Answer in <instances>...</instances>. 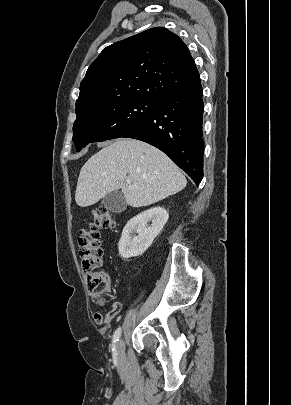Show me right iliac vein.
<instances>
[{"label": "right iliac vein", "instance_id": "63e3f726", "mask_svg": "<svg viewBox=\"0 0 291 405\" xmlns=\"http://www.w3.org/2000/svg\"><path fill=\"white\" fill-rule=\"evenodd\" d=\"M117 355H118V359L119 361H122L124 359V342L123 340H120L117 343Z\"/></svg>", "mask_w": 291, "mask_h": 405}]
</instances>
